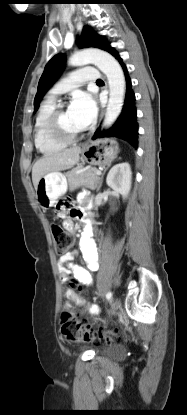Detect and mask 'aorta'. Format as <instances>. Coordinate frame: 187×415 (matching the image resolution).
I'll list each match as a JSON object with an SVG mask.
<instances>
[{"mask_svg": "<svg viewBox=\"0 0 187 415\" xmlns=\"http://www.w3.org/2000/svg\"><path fill=\"white\" fill-rule=\"evenodd\" d=\"M69 64L72 66L94 64L107 76L110 93L104 127L111 126L121 113L126 91L125 76L118 61L106 51L86 49L75 53L69 59Z\"/></svg>", "mask_w": 187, "mask_h": 415, "instance_id": "obj_1", "label": "aorta"}]
</instances>
